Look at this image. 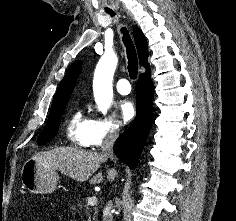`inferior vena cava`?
Instances as JSON below:
<instances>
[{
	"label": "inferior vena cava",
	"mask_w": 236,
	"mask_h": 221,
	"mask_svg": "<svg viewBox=\"0 0 236 221\" xmlns=\"http://www.w3.org/2000/svg\"><path fill=\"white\" fill-rule=\"evenodd\" d=\"M119 136V129H111L106 135L101 146L102 155L114 160L113 146ZM112 201L110 200L103 210V221H113Z\"/></svg>",
	"instance_id": "inferior-vena-cava-1"
}]
</instances>
